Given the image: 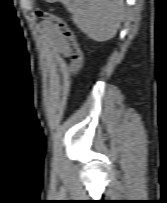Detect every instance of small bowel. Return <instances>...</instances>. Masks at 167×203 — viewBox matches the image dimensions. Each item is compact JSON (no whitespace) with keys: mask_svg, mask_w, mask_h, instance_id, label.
Returning <instances> with one entry per match:
<instances>
[{"mask_svg":"<svg viewBox=\"0 0 167 203\" xmlns=\"http://www.w3.org/2000/svg\"><path fill=\"white\" fill-rule=\"evenodd\" d=\"M41 28L46 34L53 49L61 56L67 58L71 55L68 43L63 39L59 29L51 22H41Z\"/></svg>","mask_w":167,"mask_h":203,"instance_id":"small-bowel-1","label":"small bowel"}]
</instances>
